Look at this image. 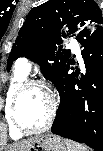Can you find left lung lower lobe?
Masks as SVG:
<instances>
[{"mask_svg": "<svg viewBox=\"0 0 103 151\" xmlns=\"http://www.w3.org/2000/svg\"><path fill=\"white\" fill-rule=\"evenodd\" d=\"M76 39L84 48L86 73L69 74V59L55 78L61 102L52 132L103 151V29L89 28Z\"/></svg>", "mask_w": 103, "mask_h": 151, "instance_id": "obj_1", "label": "left lung lower lobe"}]
</instances>
